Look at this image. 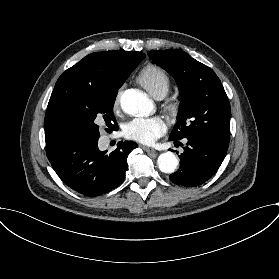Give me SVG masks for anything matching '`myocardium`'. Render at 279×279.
<instances>
[{
    "mask_svg": "<svg viewBox=\"0 0 279 279\" xmlns=\"http://www.w3.org/2000/svg\"><path fill=\"white\" fill-rule=\"evenodd\" d=\"M166 108L170 113L176 114L178 110V104L174 101H168L166 103Z\"/></svg>",
    "mask_w": 279,
    "mask_h": 279,
    "instance_id": "f54148a6",
    "label": "myocardium"
}]
</instances>
